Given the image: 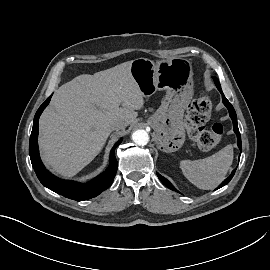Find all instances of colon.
<instances>
[{"instance_id": "1", "label": "colon", "mask_w": 270, "mask_h": 270, "mask_svg": "<svg viewBox=\"0 0 270 270\" xmlns=\"http://www.w3.org/2000/svg\"><path fill=\"white\" fill-rule=\"evenodd\" d=\"M211 109L212 105L209 97L202 95L190 103L185 114L187 135L202 151H209L217 146L221 142L224 133V127L219 122L205 127Z\"/></svg>"}]
</instances>
